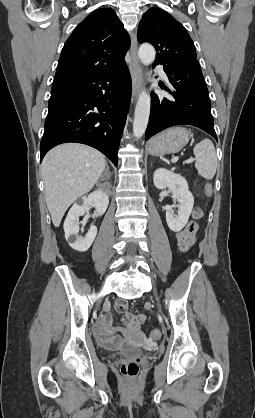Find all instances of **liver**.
I'll return each mask as SVG.
<instances>
[{
  "label": "liver",
  "mask_w": 255,
  "mask_h": 418,
  "mask_svg": "<svg viewBox=\"0 0 255 418\" xmlns=\"http://www.w3.org/2000/svg\"><path fill=\"white\" fill-rule=\"evenodd\" d=\"M105 166L101 152L82 144H62L46 154L42 175L47 207L55 227L60 225L69 206L94 187Z\"/></svg>",
  "instance_id": "liver-1"
}]
</instances>
